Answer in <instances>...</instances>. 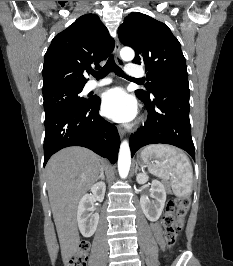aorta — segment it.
Segmentation results:
<instances>
[{"label": "aorta", "instance_id": "aorta-1", "mask_svg": "<svg viewBox=\"0 0 233 266\" xmlns=\"http://www.w3.org/2000/svg\"><path fill=\"white\" fill-rule=\"evenodd\" d=\"M120 56L123 60L131 61L134 59L135 53L133 49L125 47L121 49ZM130 165H131L130 147L128 141L125 140L121 143L119 156H118V171L121 178H126L128 176Z\"/></svg>", "mask_w": 233, "mask_h": 266}]
</instances>
